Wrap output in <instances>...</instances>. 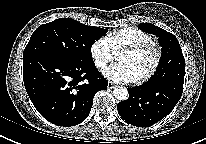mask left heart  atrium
<instances>
[{
	"label": "left heart atrium",
	"mask_w": 206,
	"mask_h": 144,
	"mask_svg": "<svg viewBox=\"0 0 206 144\" xmlns=\"http://www.w3.org/2000/svg\"><path fill=\"white\" fill-rule=\"evenodd\" d=\"M104 74L109 79L120 83L134 82L136 80L132 70L124 63L111 66L105 70Z\"/></svg>",
	"instance_id": "39dd6f15"
}]
</instances>
